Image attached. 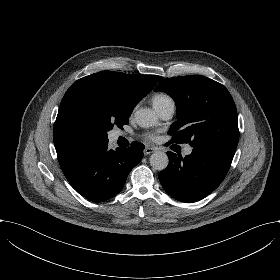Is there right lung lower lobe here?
I'll return each instance as SVG.
<instances>
[{
  "mask_svg": "<svg viewBox=\"0 0 280 280\" xmlns=\"http://www.w3.org/2000/svg\"><path fill=\"white\" fill-rule=\"evenodd\" d=\"M144 145L108 150V142L92 146L68 159L61 166L71 186L93 202L106 201L123 188L130 171L143 158Z\"/></svg>",
  "mask_w": 280,
  "mask_h": 280,
  "instance_id": "obj_1",
  "label": "right lung lower lobe"
}]
</instances>
